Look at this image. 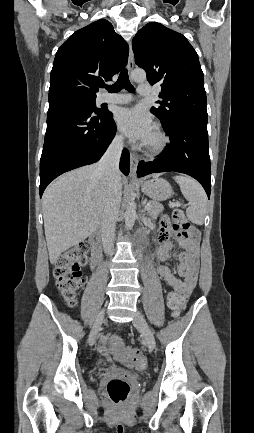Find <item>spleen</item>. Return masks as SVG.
Segmentation results:
<instances>
[{"label": "spleen", "instance_id": "spleen-1", "mask_svg": "<svg viewBox=\"0 0 254 433\" xmlns=\"http://www.w3.org/2000/svg\"><path fill=\"white\" fill-rule=\"evenodd\" d=\"M174 179L189 202L187 218L194 224L202 225L207 214V196L202 186L190 177L178 175Z\"/></svg>", "mask_w": 254, "mask_h": 433}]
</instances>
